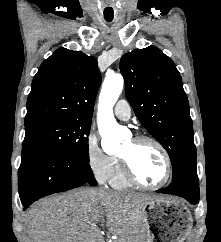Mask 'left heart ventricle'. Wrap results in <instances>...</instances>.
Wrapping results in <instances>:
<instances>
[{
    "label": "left heart ventricle",
    "instance_id": "1",
    "mask_svg": "<svg viewBox=\"0 0 221 242\" xmlns=\"http://www.w3.org/2000/svg\"><path fill=\"white\" fill-rule=\"evenodd\" d=\"M120 155L130 159L138 177L147 184L160 182L165 175V160L160 150L152 143L127 141Z\"/></svg>",
    "mask_w": 221,
    "mask_h": 242
}]
</instances>
